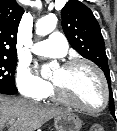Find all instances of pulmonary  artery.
<instances>
[{
  "instance_id": "obj_1",
  "label": "pulmonary artery",
  "mask_w": 117,
  "mask_h": 131,
  "mask_svg": "<svg viewBox=\"0 0 117 131\" xmlns=\"http://www.w3.org/2000/svg\"><path fill=\"white\" fill-rule=\"evenodd\" d=\"M68 44L64 35L53 32L46 40L32 46V52L45 57H63L67 53Z\"/></svg>"
}]
</instances>
